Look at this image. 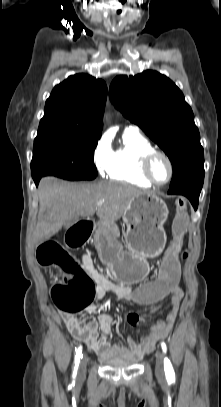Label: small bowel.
<instances>
[{"label": "small bowel", "instance_id": "small-bowel-1", "mask_svg": "<svg viewBox=\"0 0 221 407\" xmlns=\"http://www.w3.org/2000/svg\"><path fill=\"white\" fill-rule=\"evenodd\" d=\"M82 262L86 272L95 283L94 297L96 299L102 300L106 294L110 292L113 293L118 300L135 302L133 298V285L129 283L113 284L94 268L89 255H83ZM166 294L170 296L171 299L172 307L170 312L166 315L164 320H159L157 324L151 328V331L141 338L139 343L133 338H129L128 348L116 344L111 345L109 343L108 336L115 325V320L113 316L108 313L100 314L97 320L91 319L83 323L73 315L62 313L63 321L67 330L75 339L83 340L89 349L97 352L102 358L139 360L145 354L151 352L160 339L168 335L176 320L183 298V291L179 286H176L175 292H166ZM157 308L163 309L164 303L158 302ZM86 310L89 314H94L97 308L94 304H89ZM137 310L140 312L142 309L139 307ZM144 312L150 313L151 307L145 306ZM128 320L132 325L144 321L136 313H130ZM99 331L101 332V337L99 336Z\"/></svg>", "mask_w": 221, "mask_h": 407}]
</instances>
